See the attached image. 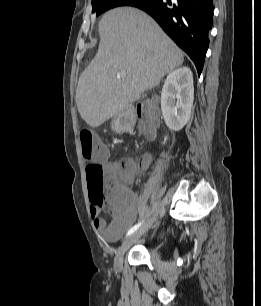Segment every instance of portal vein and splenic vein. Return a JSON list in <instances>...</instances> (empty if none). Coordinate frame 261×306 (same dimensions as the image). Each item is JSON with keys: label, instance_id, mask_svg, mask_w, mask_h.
I'll list each match as a JSON object with an SVG mask.
<instances>
[{"label": "portal vein and splenic vein", "instance_id": "portal-vein-and-splenic-vein-1", "mask_svg": "<svg viewBox=\"0 0 261 306\" xmlns=\"http://www.w3.org/2000/svg\"><path fill=\"white\" fill-rule=\"evenodd\" d=\"M124 75L125 73H121V74H118L117 77L120 78L121 76H124Z\"/></svg>", "mask_w": 261, "mask_h": 306}]
</instances>
